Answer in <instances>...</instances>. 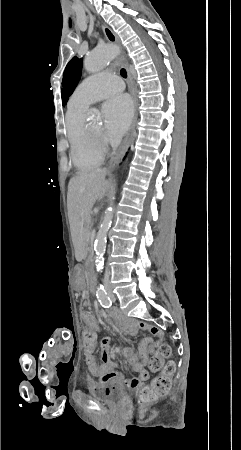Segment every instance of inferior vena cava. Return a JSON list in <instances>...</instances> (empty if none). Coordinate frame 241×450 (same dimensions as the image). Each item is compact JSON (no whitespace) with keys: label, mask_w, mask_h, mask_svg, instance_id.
Masks as SVG:
<instances>
[{"label":"inferior vena cava","mask_w":241,"mask_h":450,"mask_svg":"<svg viewBox=\"0 0 241 450\" xmlns=\"http://www.w3.org/2000/svg\"><path fill=\"white\" fill-rule=\"evenodd\" d=\"M110 272L109 270H106L105 272V280H109Z\"/></svg>","instance_id":"1"}]
</instances>
